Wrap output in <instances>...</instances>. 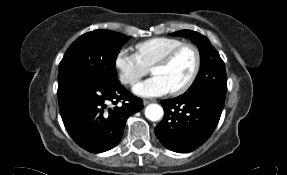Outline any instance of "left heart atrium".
Listing matches in <instances>:
<instances>
[{
  "label": "left heart atrium",
  "instance_id": "left-heart-atrium-1",
  "mask_svg": "<svg viewBox=\"0 0 287 175\" xmlns=\"http://www.w3.org/2000/svg\"><path fill=\"white\" fill-rule=\"evenodd\" d=\"M133 90L137 95L144 97L161 96L171 91L165 80L157 75L136 84Z\"/></svg>",
  "mask_w": 287,
  "mask_h": 175
}]
</instances>
